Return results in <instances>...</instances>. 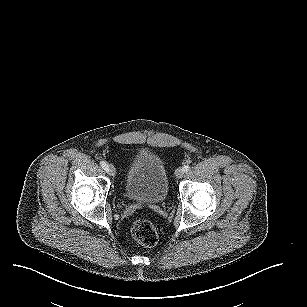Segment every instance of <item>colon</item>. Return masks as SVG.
Returning <instances> with one entry per match:
<instances>
[{
  "label": "colon",
  "instance_id": "5ec220e1",
  "mask_svg": "<svg viewBox=\"0 0 307 307\" xmlns=\"http://www.w3.org/2000/svg\"><path fill=\"white\" fill-rule=\"evenodd\" d=\"M133 238L143 246L153 247L158 242V234L154 224L147 219L136 220L131 228Z\"/></svg>",
  "mask_w": 307,
  "mask_h": 307
}]
</instances>
